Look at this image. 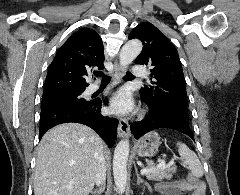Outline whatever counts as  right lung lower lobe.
I'll use <instances>...</instances> for the list:
<instances>
[{
	"instance_id": "obj_1",
	"label": "right lung lower lobe",
	"mask_w": 240,
	"mask_h": 195,
	"mask_svg": "<svg viewBox=\"0 0 240 195\" xmlns=\"http://www.w3.org/2000/svg\"><path fill=\"white\" fill-rule=\"evenodd\" d=\"M102 102L106 104L108 101L98 99L86 103H56L43 107L40 113L39 139L57 124L76 122L91 127L112 147L117 138L118 120L101 114Z\"/></svg>"
}]
</instances>
